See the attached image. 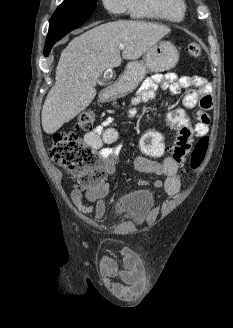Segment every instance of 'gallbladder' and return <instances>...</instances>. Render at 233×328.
<instances>
[{"label":"gallbladder","instance_id":"obj_1","mask_svg":"<svg viewBox=\"0 0 233 328\" xmlns=\"http://www.w3.org/2000/svg\"><path fill=\"white\" fill-rule=\"evenodd\" d=\"M100 80L101 82L106 83V80L104 78H101Z\"/></svg>","mask_w":233,"mask_h":328}]
</instances>
